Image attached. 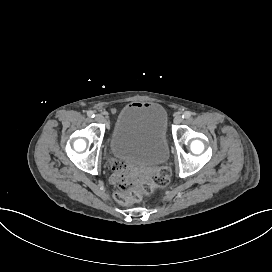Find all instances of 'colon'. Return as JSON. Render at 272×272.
I'll return each instance as SVG.
<instances>
[{"mask_svg": "<svg viewBox=\"0 0 272 272\" xmlns=\"http://www.w3.org/2000/svg\"><path fill=\"white\" fill-rule=\"evenodd\" d=\"M111 176L117 186L115 201L119 205H128L138 199V195L148 196L154 187L167 184L171 172L168 168L155 169L151 176L143 177L128 171V167L121 161L111 163Z\"/></svg>", "mask_w": 272, "mask_h": 272, "instance_id": "1", "label": "colon"}]
</instances>
